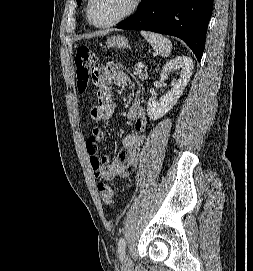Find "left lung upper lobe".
Wrapping results in <instances>:
<instances>
[{"label":"left lung upper lobe","instance_id":"1","mask_svg":"<svg viewBox=\"0 0 253 271\" xmlns=\"http://www.w3.org/2000/svg\"><path fill=\"white\" fill-rule=\"evenodd\" d=\"M78 6H80L81 4V0H77Z\"/></svg>","mask_w":253,"mask_h":271}]
</instances>
